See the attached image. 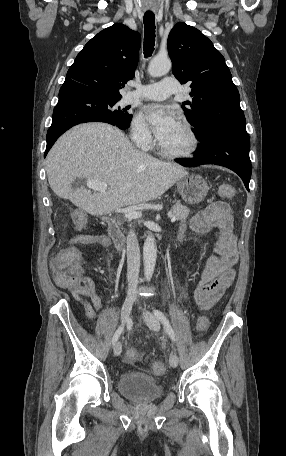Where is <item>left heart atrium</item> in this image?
Returning <instances> with one entry per match:
<instances>
[{"instance_id":"39dd6f15","label":"left heart atrium","mask_w":286,"mask_h":456,"mask_svg":"<svg viewBox=\"0 0 286 456\" xmlns=\"http://www.w3.org/2000/svg\"><path fill=\"white\" fill-rule=\"evenodd\" d=\"M145 117L152 125L160 142L165 140L179 125L172 109L163 105H149L145 108Z\"/></svg>"}]
</instances>
